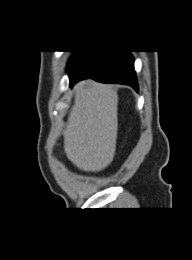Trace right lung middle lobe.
I'll use <instances>...</instances> for the list:
<instances>
[{
  "label": "right lung middle lobe",
  "mask_w": 192,
  "mask_h": 260,
  "mask_svg": "<svg viewBox=\"0 0 192 260\" xmlns=\"http://www.w3.org/2000/svg\"><path fill=\"white\" fill-rule=\"evenodd\" d=\"M83 53H84L83 51H76V52L72 55L71 59L69 60V62H68V67H69L76 59H78Z\"/></svg>",
  "instance_id": "1"
}]
</instances>
